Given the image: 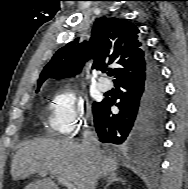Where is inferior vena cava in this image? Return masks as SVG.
Segmentation results:
<instances>
[{
  "label": "inferior vena cava",
  "instance_id": "inferior-vena-cava-1",
  "mask_svg": "<svg viewBox=\"0 0 188 189\" xmlns=\"http://www.w3.org/2000/svg\"><path fill=\"white\" fill-rule=\"evenodd\" d=\"M83 147L88 152L89 156L93 160H98L101 155V150L99 147V141L96 134L90 130H86L83 134L82 139ZM95 175L93 177L94 183L100 178V170L98 168H94Z\"/></svg>",
  "mask_w": 188,
  "mask_h": 189
}]
</instances>
